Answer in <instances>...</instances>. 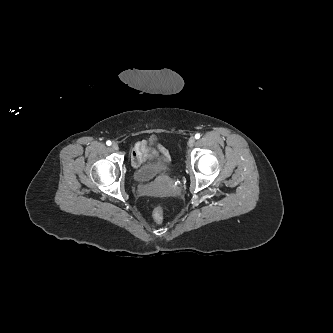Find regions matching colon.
<instances>
[{"label": "colon", "mask_w": 333, "mask_h": 333, "mask_svg": "<svg viewBox=\"0 0 333 333\" xmlns=\"http://www.w3.org/2000/svg\"><path fill=\"white\" fill-rule=\"evenodd\" d=\"M153 219L157 224H162L164 220V214L162 207L158 206L153 211Z\"/></svg>", "instance_id": "1"}]
</instances>
